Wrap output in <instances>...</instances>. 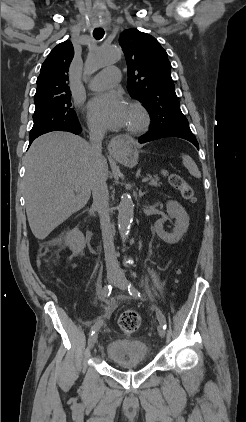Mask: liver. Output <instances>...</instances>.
Returning a JSON list of instances; mask_svg holds the SVG:
<instances>
[{
  "instance_id": "liver-1",
  "label": "liver",
  "mask_w": 246,
  "mask_h": 422,
  "mask_svg": "<svg viewBox=\"0 0 246 422\" xmlns=\"http://www.w3.org/2000/svg\"><path fill=\"white\" fill-rule=\"evenodd\" d=\"M94 166L90 144L71 133L50 132L32 143L25 157L24 188L29 226L37 239H45L87 204ZM102 169L108 177L104 157Z\"/></svg>"
}]
</instances>
